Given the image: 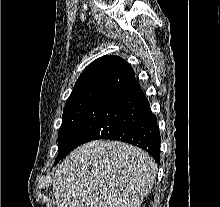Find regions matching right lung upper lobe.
Segmentation results:
<instances>
[{
	"label": "right lung upper lobe",
	"instance_id": "1",
	"mask_svg": "<svg viewBox=\"0 0 220 207\" xmlns=\"http://www.w3.org/2000/svg\"><path fill=\"white\" fill-rule=\"evenodd\" d=\"M128 67L130 65L121 57L104 55L85 68L76 81L73 90L94 82H104L107 78Z\"/></svg>",
	"mask_w": 220,
	"mask_h": 207
}]
</instances>
